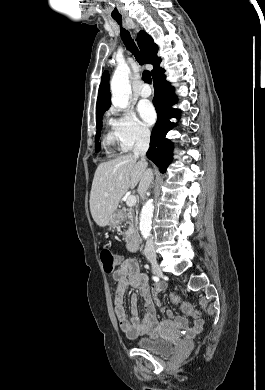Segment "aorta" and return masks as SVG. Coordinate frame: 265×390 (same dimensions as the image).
Returning a JSON list of instances; mask_svg holds the SVG:
<instances>
[{
    "instance_id": "aorta-1",
    "label": "aorta",
    "mask_w": 265,
    "mask_h": 390,
    "mask_svg": "<svg viewBox=\"0 0 265 390\" xmlns=\"http://www.w3.org/2000/svg\"><path fill=\"white\" fill-rule=\"evenodd\" d=\"M130 68L127 64H119L111 80L112 103L120 108H126L129 103L131 86L129 82ZM153 200L149 199L143 206L140 215V231L144 239L150 236L153 216Z\"/></svg>"
}]
</instances>
